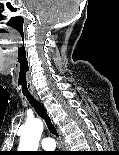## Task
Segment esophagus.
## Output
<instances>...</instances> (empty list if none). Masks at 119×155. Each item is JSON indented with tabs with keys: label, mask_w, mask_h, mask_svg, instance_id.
Segmentation results:
<instances>
[{
	"label": "esophagus",
	"mask_w": 119,
	"mask_h": 155,
	"mask_svg": "<svg viewBox=\"0 0 119 155\" xmlns=\"http://www.w3.org/2000/svg\"><path fill=\"white\" fill-rule=\"evenodd\" d=\"M34 97H35L38 101H40V98H39V96H38L37 94H34Z\"/></svg>",
	"instance_id": "obj_1"
}]
</instances>
